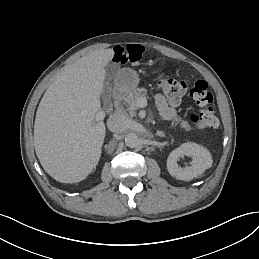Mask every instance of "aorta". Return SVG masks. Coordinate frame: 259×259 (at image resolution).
Returning a JSON list of instances; mask_svg holds the SVG:
<instances>
[{
    "instance_id": "obj_1",
    "label": "aorta",
    "mask_w": 259,
    "mask_h": 259,
    "mask_svg": "<svg viewBox=\"0 0 259 259\" xmlns=\"http://www.w3.org/2000/svg\"><path fill=\"white\" fill-rule=\"evenodd\" d=\"M125 144L129 148H136L140 144V139L136 133H128L125 136Z\"/></svg>"
}]
</instances>
